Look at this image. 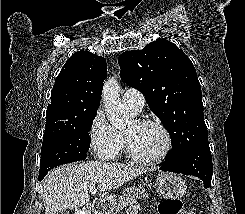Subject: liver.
<instances>
[{"label": "liver", "mask_w": 245, "mask_h": 214, "mask_svg": "<svg viewBox=\"0 0 245 214\" xmlns=\"http://www.w3.org/2000/svg\"><path fill=\"white\" fill-rule=\"evenodd\" d=\"M145 170L130 165L88 161L58 167L43 182L45 214L76 210L89 202L90 187L100 192L116 189Z\"/></svg>", "instance_id": "6515ba94"}]
</instances>
